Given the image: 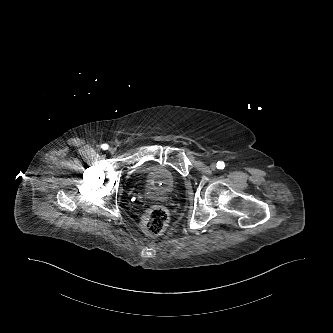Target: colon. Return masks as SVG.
Masks as SVG:
<instances>
[{
	"label": "colon",
	"mask_w": 333,
	"mask_h": 333,
	"mask_svg": "<svg viewBox=\"0 0 333 333\" xmlns=\"http://www.w3.org/2000/svg\"><path fill=\"white\" fill-rule=\"evenodd\" d=\"M169 220L168 210L161 205L152 207L142 218L141 226L149 235H159L167 227Z\"/></svg>",
	"instance_id": "colon-1"
}]
</instances>
